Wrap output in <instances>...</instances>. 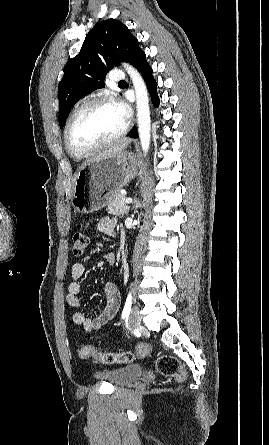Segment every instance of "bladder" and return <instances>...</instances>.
I'll use <instances>...</instances> for the list:
<instances>
[{
	"label": "bladder",
	"instance_id": "bladder-1",
	"mask_svg": "<svg viewBox=\"0 0 269 445\" xmlns=\"http://www.w3.org/2000/svg\"><path fill=\"white\" fill-rule=\"evenodd\" d=\"M143 372L144 369L141 365L132 364L108 371L98 372L96 377L104 379L114 386H124L139 378Z\"/></svg>",
	"mask_w": 269,
	"mask_h": 445
}]
</instances>
